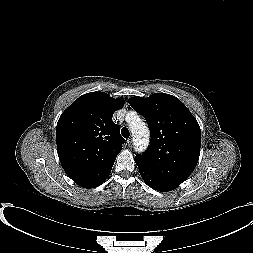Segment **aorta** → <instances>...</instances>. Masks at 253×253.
Segmentation results:
<instances>
[{
	"label": "aorta",
	"instance_id": "aorta-1",
	"mask_svg": "<svg viewBox=\"0 0 253 253\" xmlns=\"http://www.w3.org/2000/svg\"><path fill=\"white\" fill-rule=\"evenodd\" d=\"M130 130L133 135L135 150L144 151L149 145V130L147 125L138 117L134 116L129 123Z\"/></svg>",
	"mask_w": 253,
	"mask_h": 253
}]
</instances>
